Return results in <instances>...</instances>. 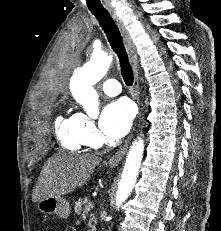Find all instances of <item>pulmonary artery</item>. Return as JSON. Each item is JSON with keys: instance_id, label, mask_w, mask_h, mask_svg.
Listing matches in <instances>:
<instances>
[{"instance_id": "pulmonary-artery-1", "label": "pulmonary artery", "mask_w": 221, "mask_h": 231, "mask_svg": "<svg viewBox=\"0 0 221 231\" xmlns=\"http://www.w3.org/2000/svg\"><path fill=\"white\" fill-rule=\"evenodd\" d=\"M102 90L108 96H116L121 92V85L118 81L109 79L102 83Z\"/></svg>"}]
</instances>
